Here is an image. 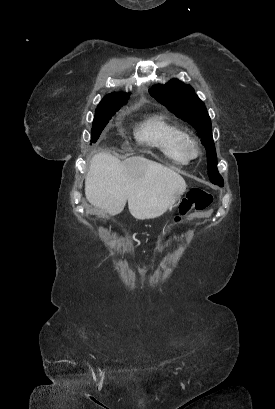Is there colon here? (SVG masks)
I'll list each match as a JSON object with an SVG mask.
<instances>
[{
    "label": "colon",
    "instance_id": "colon-1",
    "mask_svg": "<svg viewBox=\"0 0 275 409\" xmlns=\"http://www.w3.org/2000/svg\"><path fill=\"white\" fill-rule=\"evenodd\" d=\"M212 201L210 193L203 189L195 188L187 193L186 197L181 201L179 215L174 218L175 223H179L181 218L189 214L192 210L201 211L209 206ZM171 229L169 224L167 231Z\"/></svg>",
    "mask_w": 275,
    "mask_h": 409
}]
</instances>
